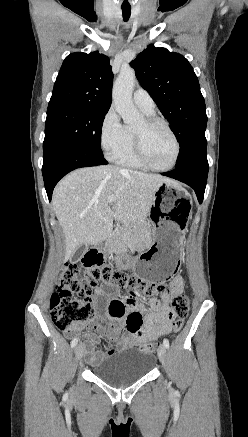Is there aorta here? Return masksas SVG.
<instances>
[{"instance_id":"aorta-1","label":"aorta","mask_w":248,"mask_h":437,"mask_svg":"<svg viewBox=\"0 0 248 437\" xmlns=\"http://www.w3.org/2000/svg\"><path fill=\"white\" fill-rule=\"evenodd\" d=\"M134 84L135 72L126 69L120 71L113 86V104L127 126H134L142 117L132 101Z\"/></svg>"}]
</instances>
